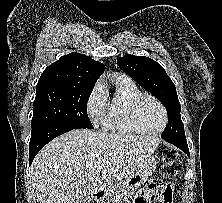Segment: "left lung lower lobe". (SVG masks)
Here are the masks:
<instances>
[{"label":"left lung lower lobe","mask_w":222,"mask_h":203,"mask_svg":"<svg viewBox=\"0 0 222 203\" xmlns=\"http://www.w3.org/2000/svg\"><path fill=\"white\" fill-rule=\"evenodd\" d=\"M167 142L175 145L176 147L180 148L182 151H184L188 156H189V148L187 145L186 139L183 140H170V139H165Z\"/></svg>","instance_id":"1"}]
</instances>
